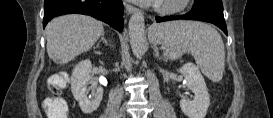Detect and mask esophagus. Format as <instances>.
I'll return each mask as SVG.
<instances>
[{
    "label": "esophagus",
    "instance_id": "esophagus-1",
    "mask_svg": "<svg viewBox=\"0 0 273 118\" xmlns=\"http://www.w3.org/2000/svg\"><path fill=\"white\" fill-rule=\"evenodd\" d=\"M125 5V8H126V11L129 13V14H132V13H135V12H138V9L128 3H124Z\"/></svg>",
    "mask_w": 273,
    "mask_h": 118
}]
</instances>
